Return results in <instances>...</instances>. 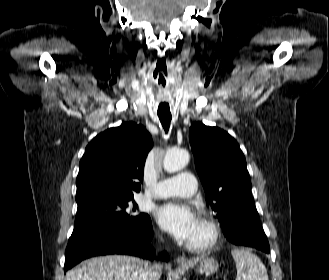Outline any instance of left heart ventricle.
I'll list each match as a JSON object with an SVG mask.
<instances>
[{
  "instance_id": "obj_1",
  "label": "left heart ventricle",
  "mask_w": 329,
  "mask_h": 280,
  "mask_svg": "<svg viewBox=\"0 0 329 280\" xmlns=\"http://www.w3.org/2000/svg\"><path fill=\"white\" fill-rule=\"evenodd\" d=\"M205 238H206V231L202 227L201 223L198 221L197 229H196L193 237L191 238V240L189 242H191V243H199V242L204 241Z\"/></svg>"
}]
</instances>
